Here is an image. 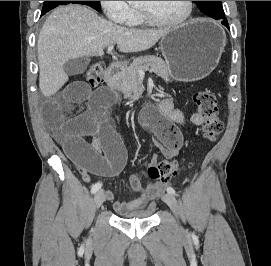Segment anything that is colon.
Returning <instances> with one entry per match:
<instances>
[{
	"label": "colon",
	"instance_id": "obj_1",
	"mask_svg": "<svg viewBox=\"0 0 271 266\" xmlns=\"http://www.w3.org/2000/svg\"><path fill=\"white\" fill-rule=\"evenodd\" d=\"M105 65L101 62L93 63L87 70L86 81L90 87H96L102 81ZM197 105L204 121L202 125V136L209 142L215 141L222 133L224 123L219 118L218 105L215 95L208 89L200 90L194 95ZM180 172V167L175 161L163 160L149 166L148 176L154 181H169Z\"/></svg>",
	"mask_w": 271,
	"mask_h": 266
}]
</instances>
